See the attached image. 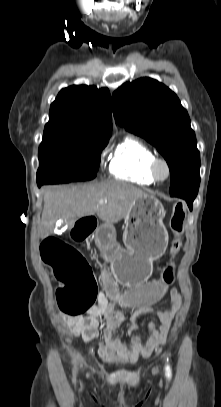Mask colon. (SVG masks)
Wrapping results in <instances>:
<instances>
[{"label":"colon","mask_w":221,"mask_h":407,"mask_svg":"<svg viewBox=\"0 0 221 407\" xmlns=\"http://www.w3.org/2000/svg\"><path fill=\"white\" fill-rule=\"evenodd\" d=\"M186 218L184 203L177 202L170 218V227L174 233L170 254L176 255L182 244ZM97 227L96 216H77L71 227L74 244L79 239H94ZM43 262L53 269L59 286L56 300L60 310L67 316H81L90 310L97 298L98 286L93 271L85 258L71 245L57 239L47 238L40 247ZM160 277H150L148 283H130L123 286V304L128 311H150L151 306H159L164 300V292H170L175 284V264L168 261ZM114 297V294H111ZM119 297V294H116Z\"/></svg>","instance_id":"1"}]
</instances>
